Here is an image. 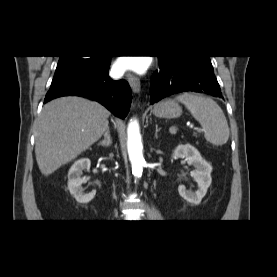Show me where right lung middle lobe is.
<instances>
[{
    "instance_id": "right-lung-middle-lobe-1",
    "label": "right lung middle lobe",
    "mask_w": 277,
    "mask_h": 277,
    "mask_svg": "<svg viewBox=\"0 0 277 277\" xmlns=\"http://www.w3.org/2000/svg\"><path fill=\"white\" fill-rule=\"evenodd\" d=\"M105 56H60L51 86H56L93 70Z\"/></svg>"
}]
</instances>
